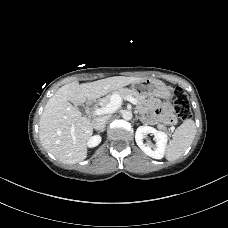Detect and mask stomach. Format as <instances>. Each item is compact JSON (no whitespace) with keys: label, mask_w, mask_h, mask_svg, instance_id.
Returning a JSON list of instances; mask_svg holds the SVG:
<instances>
[{"label":"stomach","mask_w":228,"mask_h":228,"mask_svg":"<svg viewBox=\"0 0 228 228\" xmlns=\"http://www.w3.org/2000/svg\"><path fill=\"white\" fill-rule=\"evenodd\" d=\"M132 90L146 96H155L162 99H170V89L160 80L154 78H145L132 84Z\"/></svg>","instance_id":"0dacf381"}]
</instances>
